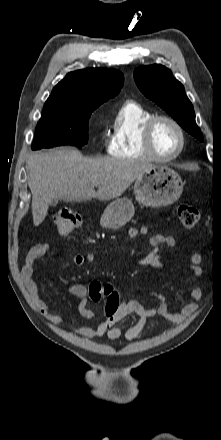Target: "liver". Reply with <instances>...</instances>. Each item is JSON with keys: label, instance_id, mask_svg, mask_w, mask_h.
<instances>
[{"label": "liver", "instance_id": "6515ba94", "mask_svg": "<svg viewBox=\"0 0 221 440\" xmlns=\"http://www.w3.org/2000/svg\"><path fill=\"white\" fill-rule=\"evenodd\" d=\"M26 167L33 222L38 226L47 216L52 200L68 202L97 198L108 201L117 198L154 165L109 157L91 159L76 149L57 148L30 155Z\"/></svg>", "mask_w": 221, "mask_h": 440}]
</instances>
